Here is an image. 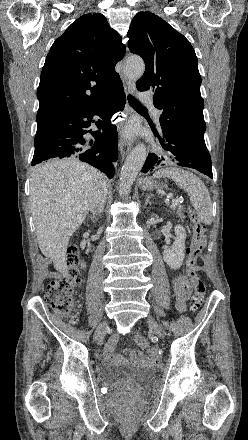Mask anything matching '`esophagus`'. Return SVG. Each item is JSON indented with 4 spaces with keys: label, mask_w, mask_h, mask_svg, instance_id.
Returning a JSON list of instances; mask_svg holds the SVG:
<instances>
[{
    "label": "esophagus",
    "mask_w": 248,
    "mask_h": 440,
    "mask_svg": "<svg viewBox=\"0 0 248 440\" xmlns=\"http://www.w3.org/2000/svg\"><path fill=\"white\" fill-rule=\"evenodd\" d=\"M121 79L125 88V91L127 93H133L135 91V84L133 81L128 79L123 72H121ZM119 147H120V153L122 157H125L130 149H131V143L126 140L125 138H121L119 141Z\"/></svg>",
    "instance_id": "1"
}]
</instances>
